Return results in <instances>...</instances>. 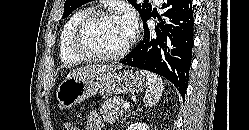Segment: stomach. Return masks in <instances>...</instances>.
Masks as SVG:
<instances>
[{
	"label": "stomach",
	"mask_w": 249,
	"mask_h": 130,
	"mask_svg": "<svg viewBox=\"0 0 249 130\" xmlns=\"http://www.w3.org/2000/svg\"><path fill=\"white\" fill-rule=\"evenodd\" d=\"M146 86L145 76L137 70L115 71L110 74L67 78L58 86L56 98L62 107L69 109L94 95L133 94Z\"/></svg>",
	"instance_id": "stomach-1"
}]
</instances>
